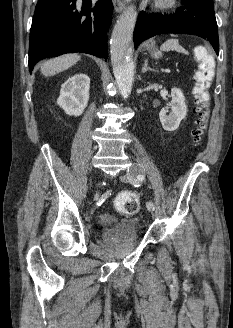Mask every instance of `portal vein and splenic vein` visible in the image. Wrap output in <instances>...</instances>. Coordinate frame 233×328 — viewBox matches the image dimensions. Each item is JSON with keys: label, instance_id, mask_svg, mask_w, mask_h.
Instances as JSON below:
<instances>
[{"label": "portal vein and splenic vein", "instance_id": "portal-vein-and-splenic-vein-1", "mask_svg": "<svg viewBox=\"0 0 233 328\" xmlns=\"http://www.w3.org/2000/svg\"><path fill=\"white\" fill-rule=\"evenodd\" d=\"M165 73H170V70L169 69H165Z\"/></svg>", "mask_w": 233, "mask_h": 328}]
</instances>
